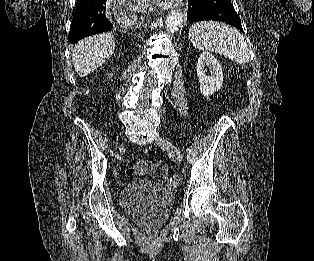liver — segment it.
Listing matches in <instances>:
<instances>
[{"label": "liver", "mask_w": 314, "mask_h": 261, "mask_svg": "<svg viewBox=\"0 0 314 261\" xmlns=\"http://www.w3.org/2000/svg\"><path fill=\"white\" fill-rule=\"evenodd\" d=\"M115 39L111 33L87 37L79 41L72 53V63L80 77H85L103 65L113 54Z\"/></svg>", "instance_id": "obj_1"}]
</instances>
